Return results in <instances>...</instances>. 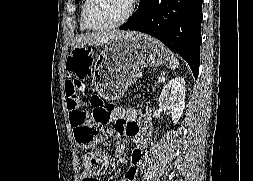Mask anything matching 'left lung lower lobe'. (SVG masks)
Wrapping results in <instances>:
<instances>
[{
  "instance_id": "1",
  "label": "left lung lower lobe",
  "mask_w": 253,
  "mask_h": 181,
  "mask_svg": "<svg viewBox=\"0 0 253 181\" xmlns=\"http://www.w3.org/2000/svg\"><path fill=\"white\" fill-rule=\"evenodd\" d=\"M203 0H141L122 30L149 34L181 55L198 77Z\"/></svg>"
}]
</instances>
